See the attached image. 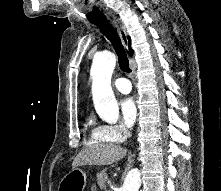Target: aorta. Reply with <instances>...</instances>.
I'll list each match as a JSON object with an SVG mask.
<instances>
[{
    "label": "aorta",
    "mask_w": 221,
    "mask_h": 191,
    "mask_svg": "<svg viewBox=\"0 0 221 191\" xmlns=\"http://www.w3.org/2000/svg\"><path fill=\"white\" fill-rule=\"evenodd\" d=\"M116 65V57L111 52L96 54L90 75L92 78V96L98 115L109 123H115L119 117V107L111 88V76ZM141 173L131 169L123 184V191H139Z\"/></svg>",
    "instance_id": "aorta-1"
}]
</instances>
